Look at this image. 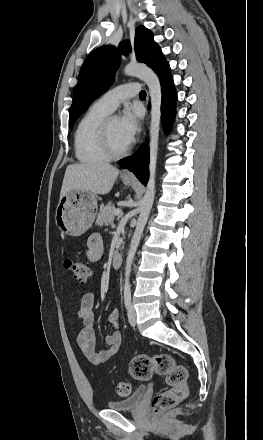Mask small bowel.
<instances>
[{
  "label": "small bowel",
  "instance_id": "c3829d8e",
  "mask_svg": "<svg viewBox=\"0 0 263 440\" xmlns=\"http://www.w3.org/2000/svg\"><path fill=\"white\" fill-rule=\"evenodd\" d=\"M103 254V239L100 234H92L86 243L85 255L91 262L100 260ZM94 305L95 295L92 292L85 293L80 302V307L77 311V317L83 321L84 327L79 332L76 338L77 346L83 356L92 365L98 366L108 362L119 351L121 346V334L119 328V311L114 308L108 320L114 327L111 334L105 336L104 342L106 348L99 352L95 349V332H94Z\"/></svg>",
  "mask_w": 263,
  "mask_h": 440
}]
</instances>
